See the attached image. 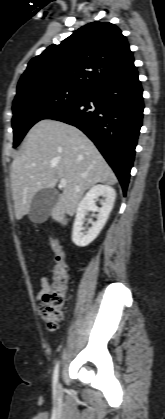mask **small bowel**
<instances>
[{
	"instance_id": "1",
	"label": "small bowel",
	"mask_w": 165,
	"mask_h": 419,
	"mask_svg": "<svg viewBox=\"0 0 165 419\" xmlns=\"http://www.w3.org/2000/svg\"><path fill=\"white\" fill-rule=\"evenodd\" d=\"M50 289L49 277L44 275L40 279V289L37 293V299H41V297L47 293Z\"/></svg>"
}]
</instances>
